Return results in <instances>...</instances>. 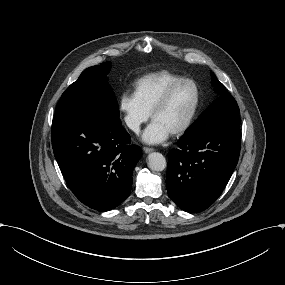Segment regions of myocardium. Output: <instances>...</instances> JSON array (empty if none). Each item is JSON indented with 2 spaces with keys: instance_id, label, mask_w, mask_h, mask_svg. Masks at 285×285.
<instances>
[{
  "instance_id": "f54148a6",
  "label": "myocardium",
  "mask_w": 285,
  "mask_h": 285,
  "mask_svg": "<svg viewBox=\"0 0 285 285\" xmlns=\"http://www.w3.org/2000/svg\"><path fill=\"white\" fill-rule=\"evenodd\" d=\"M185 82H189L194 86L195 91H196V100H195L193 109H192L190 115L188 116V118L185 120V122L182 125H180L179 127H177L176 129H174L172 131L173 134H180V133L185 132L191 126L194 119L196 118L198 111L200 109L201 100H202V92H201V88H200L199 84L194 79L189 78V77H185V78H182V79L174 82L164 91V93L161 95V97L159 98V100L154 105V107L151 111V116L154 117L155 113L157 111H159L160 109H162L168 103V101H169L172 93L175 91V89L178 86H180L182 83H185Z\"/></svg>"
}]
</instances>
